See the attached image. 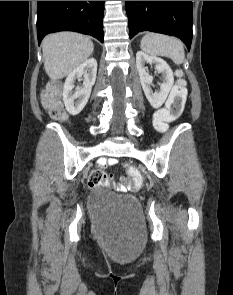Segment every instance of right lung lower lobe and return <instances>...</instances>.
Listing matches in <instances>:
<instances>
[{
	"label": "right lung lower lobe",
	"mask_w": 233,
	"mask_h": 295,
	"mask_svg": "<svg viewBox=\"0 0 233 295\" xmlns=\"http://www.w3.org/2000/svg\"><path fill=\"white\" fill-rule=\"evenodd\" d=\"M104 1H38V43L51 32L76 31L103 42Z\"/></svg>",
	"instance_id": "right-lung-lower-lobe-1"
}]
</instances>
